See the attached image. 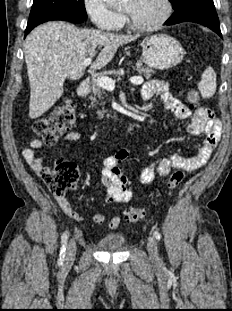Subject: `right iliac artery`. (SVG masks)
I'll use <instances>...</instances> for the list:
<instances>
[{"label": "right iliac artery", "mask_w": 232, "mask_h": 311, "mask_svg": "<svg viewBox=\"0 0 232 311\" xmlns=\"http://www.w3.org/2000/svg\"><path fill=\"white\" fill-rule=\"evenodd\" d=\"M68 240V232H64L61 238V249H60V254H59V264H63L65 260V251H66V244Z\"/></svg>", "instance_id": "obj_1"}]
</instances>
